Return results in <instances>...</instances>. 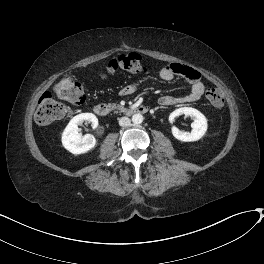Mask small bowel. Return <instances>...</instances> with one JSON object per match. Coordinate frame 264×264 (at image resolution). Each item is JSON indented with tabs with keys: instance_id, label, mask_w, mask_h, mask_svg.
Instances as JSON below:
<instances>
[{
	"instance_id": "obj_1",
	"label": "small bowel",
	"mask_w": 264,
	"mask_h": 264,
	"mask_svg": "<svg viewBox=\"0 0 264 264\" xmlns=\"http://www.w3.org/2000/svg\"><path fill=\"white\" fill-rule=\"evenodd\" d=\"M160 76L166 81H173L177 77H182L186 80L190 87L189 93L183 96L163 95L159 99V104L161 106L167 107L178 104L192 103L199 101L203 97L205 87L198 78V72L191 67L179 64L165 66L160 70ZM134 91L135 89L133 86H127L122 89L121 93L123 95H130Z\"/></svg>"
}]
</instances>
